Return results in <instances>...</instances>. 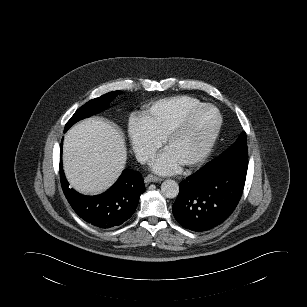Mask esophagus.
Returning a JSON list of instances; mask_svg holds the SVG:
<instances>
[{"label": "esophagus", "mask_w": 307, "mask_h": 307, "mask_svg": "<svg viewBox=\"0 0 307 307\" xmlns=\"http://www.w3.org/2000/svg\"><path fill=\"white\" fill-rule=\"evenodd\" d=\"M163 179L160 177H156L154 175H148L145 177V182L150 183V182H161Z\"/></svg>", "instance_id": "1"}]
</instances>
